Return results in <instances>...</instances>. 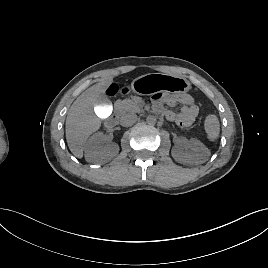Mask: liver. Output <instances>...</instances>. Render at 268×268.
Returning <instances> with one entry per match:
<instances>
[{
    "label": "liver",
    "instance_id": "1",
    "mask_svg": "<svg viewBox=\"0 0 268 268\" xmlns=\"http://www.w3.org/2000/svg\"><path fill=\"white\" fill-rule=\"evenodd\" d=\"M113 82L109 77L86 89L74 101L66 118V140L77 158L83 157L85 142L101 126V119L95 114L96 106L107 87Z\"/></svg>",
    "mask_w": 268,
    "mask_h": 268
}]
</instances>
